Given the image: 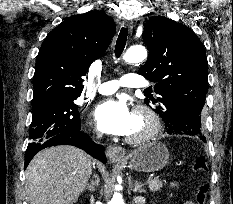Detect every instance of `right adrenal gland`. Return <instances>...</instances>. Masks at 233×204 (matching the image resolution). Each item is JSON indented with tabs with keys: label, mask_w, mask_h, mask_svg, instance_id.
<instances>
[{
	"label": "right adrenal gland",
	"mask_w": 233,
	"mask_h": 204,
	"mask_svg": "<svg viewBox=\"0 0 233 204\" xmlns=\"http://www.w3.org/2000/svg\"><path fill=\"white\" fill-rule=\"evenodd\" d=\"M93 178L95 180H92L91 183H90V185L87 186V189L89 191H91V192L95 191V186H98V184H99V178H98V176L94 174Z\"/></svg>",
	"instance_id": "1"
}]
</instances>
